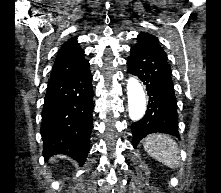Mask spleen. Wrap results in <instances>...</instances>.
Returning a JSON list of instances; mask_svg holds the SVG:
<instances>
[{"mask_svg": "<svg viewBox=\"0 0 221 193\" xmlns=\"http://www.w3.org/2000/svg\"><path fill=\"white\" fill-rule=\"evenodd\" d=\"M145 151L158 162L174 169L180 165L176 142L166 134H150L144 139Z\"/></svg>", "mask_w": 221, "mask_h": 193, "instance_id": "3e777b00", "label": "spleen"}]
</instances>
